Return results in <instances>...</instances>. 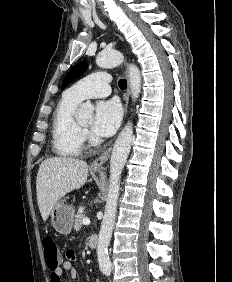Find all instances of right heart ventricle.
I'll return each instance as SVG.
<instances>
[{"mask_svg":"<svg viewBox=\"0 0 232 282\" xmlns=\"http://www.w3.org/2000/svg\"><path fill=\"white\" fill-rule=\"evenodd\" d=\"M79 103L65 92L53 112L51 144L53 152L58 156H77L82 151L84 134L73 116Z\"/></svg>","mask_w":232,"mask_h":282,"instance_id":"1","label":"right heart ventricle"}]
</instances>
